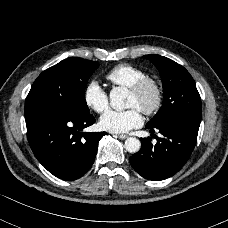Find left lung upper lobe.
Wrapping results in <instances>:
<instances>
[{
	"mask_svg": "<svg viewBox=\"0 0 228 228\" xmlns=\"http://www.w3.org/2000/svg\"><path fill=\"white\" fill-rule=\"evenodd\" d=\"M159 70L163 82L164 101L158 113L146 126L155 127L173 117H190L201 121V98L189 72L173 60L145 55Z\"/></svg>",
	"mask_w": 228,
	"mask_h": 228,
	"instance_id": "obj_1",
	"label": "left lung upper lobe"
}]
</instances>
